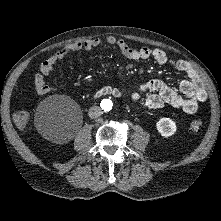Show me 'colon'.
<instances>
[{
  "instance_id": "colon-1",
  "label": "colon",
  "mask_w": 221,
  "mask_h": 221,
  "mask_svg": "<svg viewBox=\"0 0 221 221\" xmlns=\"http://www.w3.org/2000/svg\"><path fill=\"white\" fill-rule=\"evenodd\" d=\"M15 124L20 128H26L29 121V114L26 111H18L14 115ZM203 129V122L199 119L193 120L190 123V130L200 132Z\"/></svg>"
}]
</instances>
